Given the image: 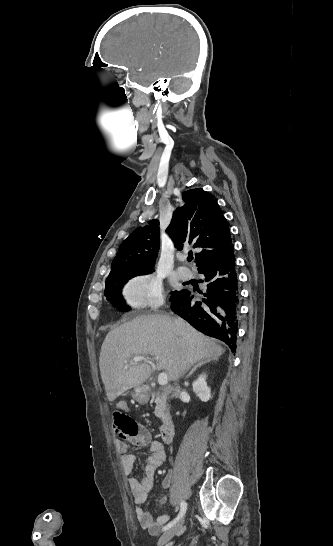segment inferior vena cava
Listing matches in <instances>:
<instances>
[{
  "label": "inferior vena cava",
  "mask_w": 333,
  "mask_h": 546,
  "mask_svg": "<svg viewBox=\"0 0 333 546\" xmlns=\"http://www.w3.org/2000/svg\"><path fill=\"white\" fill-rule=\"evenodd\" d=\"M174 325L176 327H180L182 325V321H180L178 319H174ZM175 392H176V394L180 392L179 386H176Z\"/></svg>",
  "instance_id": "1"
}]
</instances>
